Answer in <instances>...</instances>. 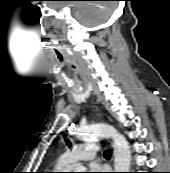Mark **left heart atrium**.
<instances>
[{"label": "left heart atrium", "instance_id": "left-heart-atrium-1", "mask_svg": "<svg viewBox=\"0 0 170 173\" xmlns=\"http://www.w3.org/2000/svg\"><path fill=\"white\" fill-rule=\"evenodd\" d=\"M89 170L91 173H103L105 170H104V167L98 165V164H92L90 167H89Z\"/></svg>", "mask_w": 170, "mask_h": 173}]
</instances>
